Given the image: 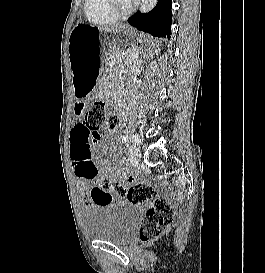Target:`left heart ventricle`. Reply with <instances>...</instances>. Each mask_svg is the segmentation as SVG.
<instances>
[{
	"mask_svg": "<svg viewBox=\"0 0 265 273\" xmlns=\"http://www.w3.org/2000/svg\"><path fill=\"white\" fill-rule=\"evenodd\" d=\"M131 2L129 0H118V4L120 8H125L128 6Z\"/></svg>",
	"mask_w": 265,
	"mask_h": 273,
	"instance_id": "b2bd125f",
	"label": "left heart ventricle"
}]
</instances>
